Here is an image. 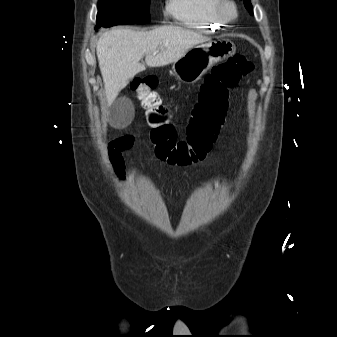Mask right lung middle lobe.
I'll list each match as a JSON object with an SVG mask.
<instances>
[{
	"instance_id": "obj_1",
	"label": "right lung middle lobe",
	"mask_w": 337,
	"mask_h": 337,
	"mask_svg": "<svg viewBox=\"0 0 337 337\" xmlns=\"http://www.w3.org/2000/svg\"><path fill=\"white\" fill-rule=\"evenodd\" d=\"M149 5L150 0H99L95 30L118 24L149 23Z\"/></svg>"
}]
</instances>
